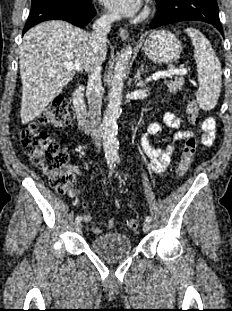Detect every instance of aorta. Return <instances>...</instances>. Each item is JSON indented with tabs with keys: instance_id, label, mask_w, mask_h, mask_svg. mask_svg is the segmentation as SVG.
<instances>
[{
	"instance_id": "aorta-1",
	"label": "aorta",
	"mask_w": 232,
	"mask_h": 311,
	"mask_svg": "<svg viewBox=\"0 0 232 311\" xmlns=\"http://www.w3.org/2000/svg\"><path fill=\"white\" fill-rule=\"evenodd\" d=\"M131 47H127L120 55L114 69V77L109 93V102L101 124V136L106 157L109 159L118 158L119 141L117 139V119L120 117L122 90L124 77L126 75L125 64L128 60Z\"/></svg>"
}]
</instances>
